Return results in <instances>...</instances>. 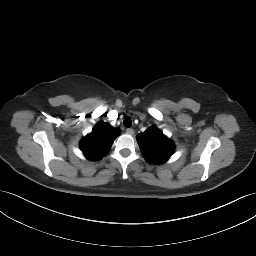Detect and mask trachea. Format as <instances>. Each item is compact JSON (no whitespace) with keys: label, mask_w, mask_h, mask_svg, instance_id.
<instances>
[{"label":"trachea","mask_w":256,"mask_h":256,"mask_svg":"<svg viewBox=\"0 0 256 256\" xmlns=\"http://www.w3.org/2000/svg\"><path fill=\"white\" fill-rule=\"evenodd\" d=\"M124 125L126 126V127H131V125H132V121H131V119L129 118V117H127V118H125L124 119Z\"/></svg>","instance_id":"1"}]
</instances>
